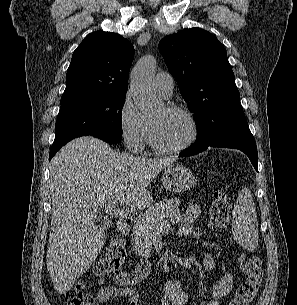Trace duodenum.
<instances>
[{
    "instance_id": "duodenum-1",
    "label": "duodenum",
    "mask_w": 297,
    "mask_h": 305,
    "mask_svg": "<svg viewBox=\"0 0 297 305\" xmlns=\"http://www.w3.org/2000/svg\"><path fill=\"white\" fill-rule=\"evenodd\" d=\"M117 228L123 235H129L131 232V225L127 221H119Z\"/></svg>"
}]
</instances>
